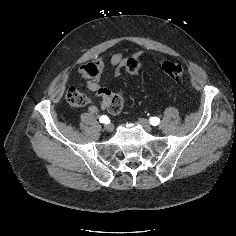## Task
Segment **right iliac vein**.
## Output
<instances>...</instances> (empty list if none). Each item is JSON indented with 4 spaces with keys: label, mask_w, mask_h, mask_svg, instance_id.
Wrapping results in <instances>:
<instances>
[{
    "label": "right iliac vein",
    "mask_w": 236,
    "mask_h": 236,
    "mask_svg": "<svg viewBox=\"0 0 236 236\" xmlns=\"http://www.w3.org/2000/svg\"><path fill=\"white\" fill-rule=\"evenodd\" d=\"M105 131L112 132L113 131V125L112 124H106L104 126Z\"/></svg>",
    "instance_id": "1"
}]
</instances>
